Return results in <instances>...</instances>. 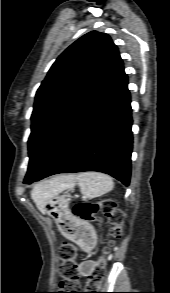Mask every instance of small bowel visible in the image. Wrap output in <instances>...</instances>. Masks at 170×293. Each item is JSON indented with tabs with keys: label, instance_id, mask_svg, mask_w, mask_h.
I'll return each instance as SVG.
<instances>
[{
	"label": "small bowel",
	"instance_id": "1",
	"mask_svg": "<svg viewBox=\"0 0 170 293\" xmlns=\"http://www.w3.org/2000/svg\"><path fill=\"white\" fill-rule=\"evenodd\" d=\"M73 239L74 241L79 242L77 238H73ZM95 266H96L95 261H92V260L83 261L79 264V272L83 276H89L92 273Z\"/></svg>",
	"mask_w": 170,
	"mask_h": 293
}]
</instances>
